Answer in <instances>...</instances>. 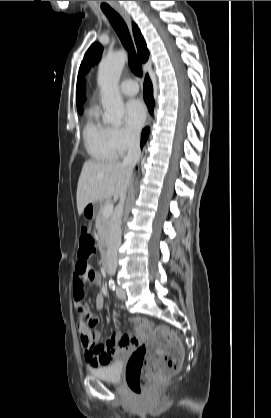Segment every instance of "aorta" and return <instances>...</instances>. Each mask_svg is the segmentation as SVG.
<instances>
[{
  "mask_svg": "<svg viewBox=\"0 0 271 418\" xmlns=\"http://www.w3.org/2000/svg\"><path fill=\"white\" fill-rule=\"evenodd\" d=\"M125 62V52H115L103 58L98 69L97 80L101 90V103L105 110L103 121L113 125H120L124 116L119 80Z\"/></svg>",
  "mask_w": 271,
  "mask_h": 418,
  "instance_id": "762f6f07",
  "label": "aorta"
}]
</instances>
